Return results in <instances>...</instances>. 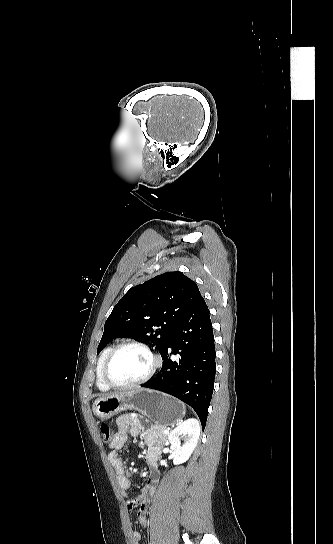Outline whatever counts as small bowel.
I'll use <instances>...</instances> for the list:
<instances>
[{
    "label": "small bowel",
    "instance_id": "1",
    "mask_svg": "<svg viewBox=\"0 0 333 544\" xmlns=\"http://www.w3.org/2000/svg\"><path fill=\"white\" fill-rule=\"evenodd\" d=\"M117 425L118 429L110 442L111 452L108 455V460L115 470L118 484L124 493L130 489L131 481L130 473L126 470L121 460L120 451L127 442L128 434L133 436L142 435L145 442L150 446L146 455V462L150 468L146 484L141 488L140 495L137 498L126 501L128 509L136 507L139 522L145 524L147 521L148 506L159 482L157 461L160 448L153 431L147 429L138 417L121 415L117 419ZM132 544H141V535L136 531L132 532Z\"/></svg>",
    "mask_w": 333,
    "mask_h": 544
}]
</instances>
